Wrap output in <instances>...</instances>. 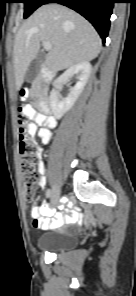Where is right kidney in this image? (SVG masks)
<instances>
[{
    "label": "right kidney",
    "mask_w": 136,
    "mask_h": 296,
    "mask_svg": "<svg viewBox=\"0 0 136 296\" xmlns=\"http://www.w3.org/2000/svg\"><path fill=\"white\" fill-rule=\"evenodd\" d=\"M91 70L92 67L89 62H80L71 66L57 79V87L66 83L67 80L73 76H76L77 79L76 85L70 88V93L66 98L61 97L56 90L51 91V108L54 116L57 119H60L67 111H69L73 107L90 77Z\"/></svg>",
    "instance_id": "right-kidney-1"
}]
</instances>
